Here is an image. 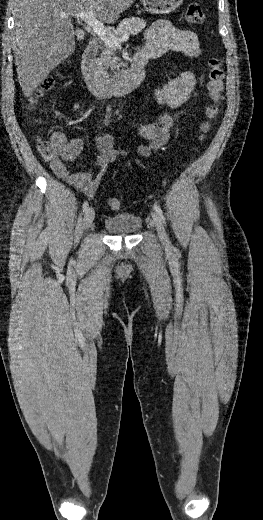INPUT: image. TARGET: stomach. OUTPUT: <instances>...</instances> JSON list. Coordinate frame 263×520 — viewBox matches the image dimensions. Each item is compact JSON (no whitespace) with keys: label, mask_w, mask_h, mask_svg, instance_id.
<instances>
[{"label":"stomach","mask_w":263,"mask_h":520,"mask_svg":"<svg viewBox=\"0 0 263 520\" xmlns=\"http://www.w3.org/2000/svg\"><path fill=\"white\" fill-rule=\"evenodd\" d=\"M143 7L152 14H168L176 10L183 0H141Z\"/></svg>","instance_id":"1"}]
</instances>
